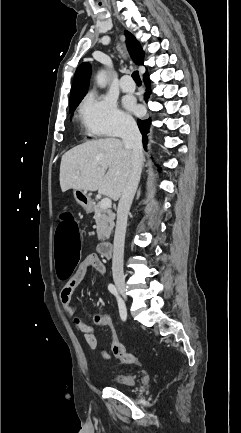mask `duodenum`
<instances>
[{
  "mask_svg": "<svg viewBox=\"0 0 241 433\" xmlns=\"http://www.w3.org/2000/svg\"><path fill=\"white\" fill-rule=\"evenodd\" d=\"M99 253L106 259L111 258L112 256V243L111 242H102L98 246Z\"/></svg>",
  "mask_w": 241,
  "mask_h": 433,
  "instance_id": "1",
  "label": "duodenum"
}]
</instances>
